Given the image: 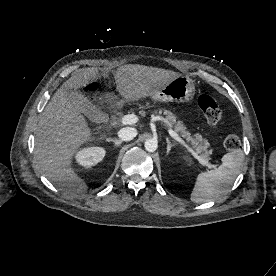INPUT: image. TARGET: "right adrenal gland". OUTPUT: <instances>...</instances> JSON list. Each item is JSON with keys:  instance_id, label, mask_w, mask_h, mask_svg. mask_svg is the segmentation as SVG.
I'll return each instance as SVG.
<instances>
[{"instance_id": "right-adrenal-gland-1", "label": "right adrenal gland", "mask_w": 276, "mask_h": 276, "mask_svg": "<svg viewBox=\"0 0 276 276\" xmlns=\"http://www.w3.org/2000/svg\"><path fill=\"white\" fill-rule=\"evenodd\" d=\"M107 142H113L115 144V147H118L122 144L121 140L111 139V138H107Z\"/></svg>"}]
</instances>
